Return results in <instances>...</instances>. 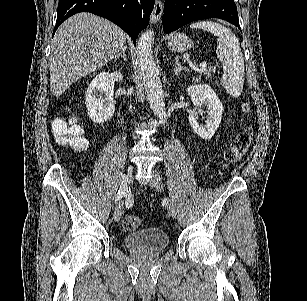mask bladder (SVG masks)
<instances>
[{"mask_svg":"<svg viewBox=\"0 0 307 301\" xmlns=\"http://www.w3.org/2000/svg\"><path fill=\"white\" fill-rule=\"evenodd\" d=\"M123 244L137 251L158 252L169 245V237L159 228H146L122 238Z\"/></svg>","mask_w":307,"mask_h":301,"instance_id":"bladder-1","label":"bladder"}]
</instances>
